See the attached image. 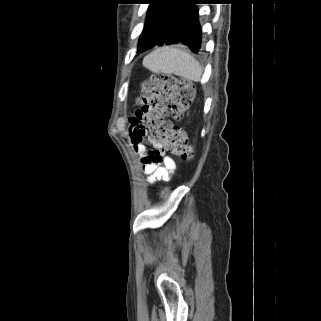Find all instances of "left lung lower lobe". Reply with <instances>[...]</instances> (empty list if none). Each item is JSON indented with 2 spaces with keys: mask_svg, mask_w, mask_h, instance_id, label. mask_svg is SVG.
<instances>
[{
  "mask_svg": "<svg viewBox=\"0 0 321 321\" xmlns=\"http://www.w3.org/2000/svg\"><path fill=\"white\" fill-rule=\"evenodd\" d=\"M202 2L203 0H180L168 20L162 39L148 49L157 45L179 44L187 46L194 53L201 52L202 31L198 8L195 4H201Z\"/></svg>",
  "mask_w": 321,
  "mask_h": 321,
  "instance_id": "obj_1",
  "label": "left lung lower lobe"
}]
</instances>
